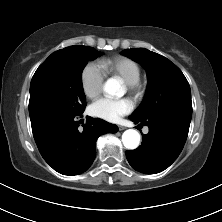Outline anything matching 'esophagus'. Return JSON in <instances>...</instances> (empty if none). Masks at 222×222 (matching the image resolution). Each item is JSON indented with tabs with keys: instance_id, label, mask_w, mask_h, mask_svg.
<instances>
[{
	"instance_id": "obj_1",
	"label": "esophagus",
	"mask_w": 222,
	"mask_h": 222,
	"mask_svg": "<svg viewBox=\"0 0 222 222\" xmlns=\"http://www.w3.org/2000/svg\"><path fill=\"white\" fill-rule=\"evenodd\" d=\"M118 128H119V130H120V131H122V130H125V129H126L124 126H121V125H119V126H118Z\"/></svg>"
}]
</instances>
